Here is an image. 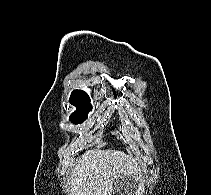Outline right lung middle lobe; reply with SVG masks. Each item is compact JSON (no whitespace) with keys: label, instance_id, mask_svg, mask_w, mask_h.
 <instances>
[{"label":"right lung middle lobe","instance_id":"1","mask_svg":"<svg viewBox=\"0 0 211 195\" xmlns=\"http://www.w3.org/2000/svg\"><path fill=\"white\" fill-rule=\"evenodd\" d=\"M74 106L77 107V110L70 116L71 122L74 124L83 123L87 119V113L91 110L92 106L90 104Z\"/></svg>","mask_w":211,"mask_h":195}]
</instances>
